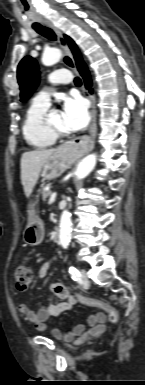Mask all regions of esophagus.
I'll list each match as a JSON object with an SVG mask.
<instances>
[{
  "label": "esophagus",
  "mask_w": 145,
  "mask_h": 385,
  "mask_svg": "<svg viewBox=\"0 0 145 385\" xmlns=\"http://www.w3.org/2000/svg\"><path fill=\"white\" fill-rule=\"evenodd\" d=\"M46 26H48L50 29L54 31V33L57 36L58 43L63 51L62 60L65 65H67L70 69H72L75 73L78 74L75 61L70 53L69 47L67 45V42L59 28H57L53 23L49 21L44 22ZM83 94L89 98L91 102V113H92V120L89 128V135L83 136L79 139H76L68 144V147L73 150L77 151L81 154L88 153L94 148L95 143V137L97 132V123H96V98L93 94H90L89 91L83 86Z\"/></svg>",
  "instance_id": "1"
}]
</instances>
